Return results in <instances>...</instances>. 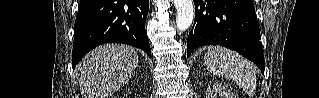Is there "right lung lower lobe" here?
Segmentation results:
<instances>
[{"instance_id": "1", "label": "right lung lower lobe", "mask_w": 319, "mask_h": 98, "mask_svg": "<svg viewBox=\"0 0 319 98\" xmlns=\"http://www.w3.org/2000/svg\"><path fill=\"white\" fill-rule=\"evenodd\" d=\"M149 0H80L74 25L72 66L103 43H124L151 57L145 31Z\"/></svg>"}]
</instances>
